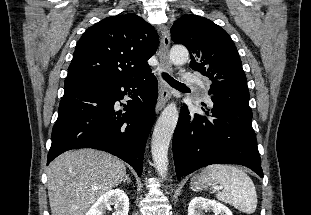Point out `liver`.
<instances>
[{
  "instance_id": "obj_1",
  "label": "liver",
  "mask_w": 311,
  "mask_h": 215,
  "mask_svg": "<svg viewBox=\"0 0 311 215\" xmlns=\"http://www.w3.org/2000/svg\"><path fill=\"white\" fill-rule=\"evenodd\" d=\"M125 176V164L106 152L79 149L61 154L48 168L51 214L84 215Z\"/></svg>"
}]
</instances>
